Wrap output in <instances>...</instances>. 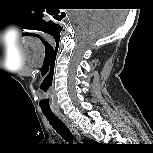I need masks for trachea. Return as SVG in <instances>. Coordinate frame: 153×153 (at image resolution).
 Masks as SVG:
<instances>
[{
  "mask_svg": "<svg viewBox=\"0 0 153 153\" xmlns=\"http://www.w3.org/2000/svg\"><path fill=\"white\" fill-rule=\"evenodd\" d=\"M52 127L59 133L62 138L70 141L72 140V136L68 128L64 125V123L55 116L54 113L43 112Z\"/></svg>",
  "mask_w": 153,
  "mask_h": 153,
  "instance_id": "3493384b",
  "label": "trachea"
}]
</instances>
